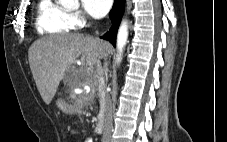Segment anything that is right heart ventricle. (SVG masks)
Listing matches in <instances>:
<instances>
[{"instance_id":"e07e8e85","label":"right heart ventricle","mask_w":227,"mask_h":142,"mask_svg":"<svg viewBox=\"0 0 227 142\" xmlns=\"http://www.w3.org/2000/svg\"><path fill=\"white\" fill-rule=\"evenodd\" d=\"M35 27L41 35L68 33L74 25L70 13L56 0H39L36 7Z\"/></svg>"}]
</instances>
